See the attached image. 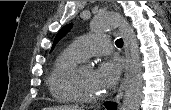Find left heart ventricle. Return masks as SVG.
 Segmentation results:
<instances>
[{
  "label": "left heart ventricle",
  "instance_id": "b2bd125f",
  "mask_svg": "<svg viewBox=\"0 0 171 110\" xmlns=\"http://www.w3.org/2000/svg\"><path fill=\"white\" fill-rule=\"evenodd\" d=\"M79 82L87 95L97 96L103 94V91L95 82L94 70L91 67L83 65L79 75Z\"/></svg>",
  "mask_w": 171,
  "mask_h": 110
}]
</instances>
